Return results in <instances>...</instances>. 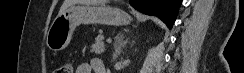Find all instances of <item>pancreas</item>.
I'll use <instances>...</instances> for the list:
<instances>
[{
	"mask_svg": "<svg viewBox=\"0 0 244 73\" xmlns=\"http://www.w3.org/2000/svg\"><path fill=\"white\" fill-rule=\"evenodd\" d=\"M105 51L104 37L99 35L91 46V52L101 55Z\"/></svg>",
	"mask_w": 244,
	"mask_h": 73,
	"instance_id": "obj_1",
	"label": "pancreas"
}]
</instances>
